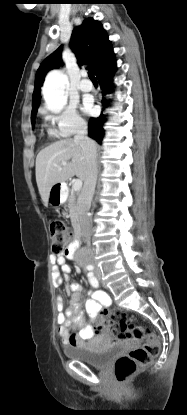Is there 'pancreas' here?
<instances>
[{
    "label": "pancreas",
    "instance_id": "obj_1",
    "mask_svg": "<svg viewBox=\"0 0 187 415\" xmlns=\"http://www.w3.org/2000/svg\"><path fill=\"white\" fill-rule=\"evenodd\" d=\"M76 198L73 192H71L68 198L67 207L69 209V214L71 218V222L73 226L77 225L78 215H77V206H76Z\"/></svg>",
    "mask_w": 187,
    "mask_h": 415
}]
</instances>
